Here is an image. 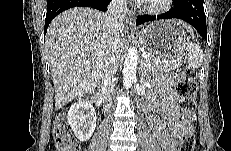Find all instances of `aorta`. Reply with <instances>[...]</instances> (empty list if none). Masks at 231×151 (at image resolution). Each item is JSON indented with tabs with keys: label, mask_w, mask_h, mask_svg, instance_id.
Masks as SVG:
<instances>
[{
	"label": "aorta",
	"mask_w": 231,
	"mask_h": 151,
	"mask_svg": "<svg viewBox=\"0 0 231 151\" xmlns=\"http://www.w3.org/2000/svg\"><path fill=\"white\" fill-rule=\"evenodd\" d=\"M138 64V52L135 48L128 50L123 67V86L128 89L136 79V70Z\"/></svg>",
	"instance_id": "aorta-1"
}]
</instances>
